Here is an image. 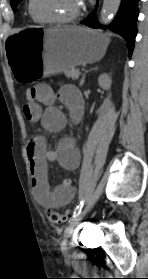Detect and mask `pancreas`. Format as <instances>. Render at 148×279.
<instances>
[{
  "label": "pancreas",
  "mask_w": 148,
  "mask_h": 279,
  "mask_svg": "<svg viewBox=\"0 0 148 279\" xmlns=\"http://www.w3.org/2000/svg\"><path fill=\"white\" fill-rule=\"evenodd\" d=\"M64 74L67 78H71L73 80H77L80 75V71L75 68H67L64 70Z\"/></svg>",
  "instance_id": "1"
}]
</instances>
